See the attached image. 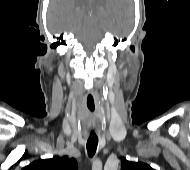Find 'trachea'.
Instances as JSON below:
<instances>
[{
  "mask_svg": "<svg viewBox=\"0 0 190 170\" xmlns=\"http://www.w3.org/2000/svg\"><path fill=\"white\" fill-rule=\"evenodd\" d=\"M97 145H98V137L95 135H91L88 138L86 144L87 152L90 157H93V155L95 154Z\"/></svg>",
  "mask_w": 190,
  "mask_h": 170,
  "instance_id": "3493384b",
  "label": "trachea"
}]
</instances>
